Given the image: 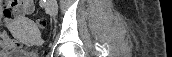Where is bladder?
I'll use <instances>...</instances> for the list:
<instances>
[{
  "mask_svg": "<svg viewBox=\"0 0 172 57\" xmlns=\"http://www.w3.org/2000/svg\"><path fill=\"white\" fill-rule=\"evenodd\" d=\"M1 57H24L20 53L16 54H1Z\"/></svg>",
  "mask_w": 172,
  "mask_h": 57,
  "instance_id": "1",
  "label": "bladder"
}]
</instances>
